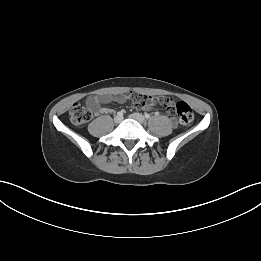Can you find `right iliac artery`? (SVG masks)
Segmentation results:
<instances>
[{
    "label": "right iliac artery",
    "instance_id": "82829eb1",
    "mask_svg": "<svg viewBox=\"0 0 261 261\" xmlns=\"http://www.w3.org/2000/svg\"><path fill=\"white\" fill-rule=\"evenodd\" d=\"M117 115L123 116V111L118 112Z\"/></svg>",
    "mask_w": 261,
    "mask_h": 261
}]
</instances>
